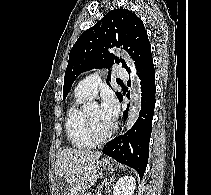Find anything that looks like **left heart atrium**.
<instances>
[{
  "label": "left heart atrium",
  "mask_w": 211,
  "mask_h": 195,
  "mask_svg": "<svg viewBox=\"0 0 211 195\" xmlns=\"http://www.w3.org/2000/svg\"><path fill=\"white\" fill-rule=\"evenodd\" d=\"M99 110L102 118L113 125L118 115V104L112 94L106 93L103 95Z\"/></svg>",
  "instance_id": "39dd6f15"
}]
</instances>
